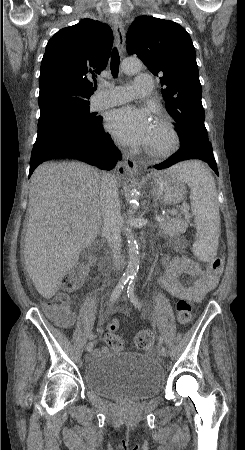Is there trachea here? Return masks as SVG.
I'll return each mask as SVG.
<instances>
[{
	"instance_id": "3493384b",
	"label": "trachea",
	"mask_w": 245,
	"mask_h": 450,
	"mask_svg": "<svg viewBox=\"0 0 245 450\" xmlns=\"http://www.w3.org/2000/svg\"><path fill=\"white\" fill-rule=\"evenodd\" d=\"M120 65V57L117 48H114L111 54L110 69L113 77H117Z\"/></svg>"
}]
</instances>
